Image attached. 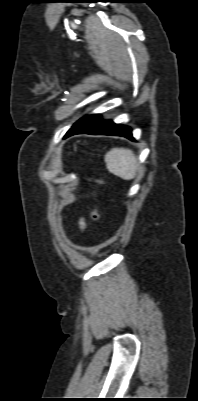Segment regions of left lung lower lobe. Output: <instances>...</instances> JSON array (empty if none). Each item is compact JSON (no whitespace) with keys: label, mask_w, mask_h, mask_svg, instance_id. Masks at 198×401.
Wrapping results in <instances>:
<instances>
[{"label":"left lung lower lobe","mask_w":198,"mask_h":401,"mask_svg":"<svg viewBox=\"0 0 198 401\" xmlns=\"http://www.w3.org/2000/svg\"><path fill=\"white\" fill-rule=\"evenodd\" d=\"M74 134L116 135L133 140L129 127L115 124L112 121H104L99 114L88 115L78 120L64 138Z\"/></svg>","instance_id":"obj_1"}]
</instances>
